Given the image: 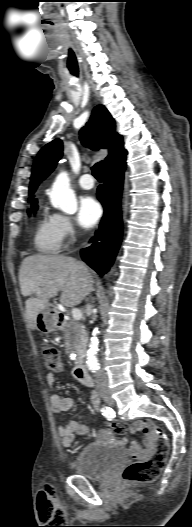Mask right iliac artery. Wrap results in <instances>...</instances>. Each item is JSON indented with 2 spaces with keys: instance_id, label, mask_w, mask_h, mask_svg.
<instances>
[{
  "instance_id": "obj_1",
  "label": "right iliac artery",
  "mask_w": 192,
  "mask_h": 527,
  "mask_svg": "<svg viewBox=\"0 0 192 527\" xmlns=\"http://www.w3.org/2000/svg\"><path fill=\"white\" fill-rule=\"evenodd\" d=\"M102 414L108 419L111 420L114 415L112 414V410L109 407H103L102 408Z\"/></svg>"
}]
</instances>
